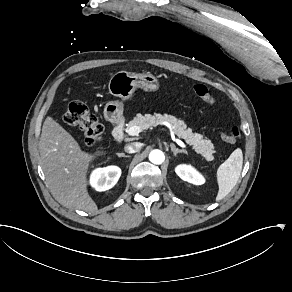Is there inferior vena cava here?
Segmentation results:
<instances>
[{"instance_id":"1","label":"inferior vena cava","mask_w":292,"mask_h":292,"mask_svg":"<svg viewBox=\"0 0 292 292\" xmlns=\"http://www.w3.org/2000/svg\"><path fill=\"white\" fill-rule=\"evenodd\" d=\"M140 149H141V146L137 142H132V143L126 144L124 147V150L127 153H136V152L140 151Z\"/></svg>"}]
</instances>
